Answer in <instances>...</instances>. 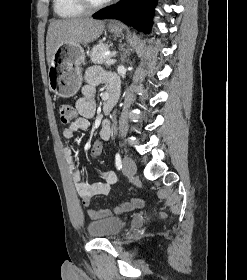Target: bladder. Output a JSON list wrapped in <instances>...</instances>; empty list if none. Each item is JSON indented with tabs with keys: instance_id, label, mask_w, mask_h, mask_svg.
<instances>
[{
	"instance_id": "1",
	"label": "bladder",
	"mask_w": 247,
	"mask_h": 280,
	"mask_svg": "<svg viewBox=\"0 0 247 280\" xmlns=\"http://www.w3.org/2000/svg\"><path fill=\"white\" fill-rule=\"evenodd\" d=\"M124 226L122 219L108 217L99 219L88 224V233L94 238H112L120 233Z\"/></svg>"
}]
</instances>
